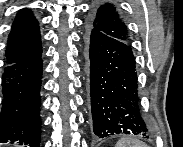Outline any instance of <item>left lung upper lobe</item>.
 <instances>
[{"label": "left lung upper lobe", "instance_id": "1", "mask_svg": "<svg viewBox=\"0 0 183 147\" xmlns=\"http://www.w3.org/2000/svg\"><path fill=\"white\" fill-rule=\"evenodd\" d=\"M89 28L128 42L127 27L116 7L111 3H105L99 7L97 14L89 20Z\"/></svg>", "mask_w": 183, "mask_h": 147}]
</instances>
